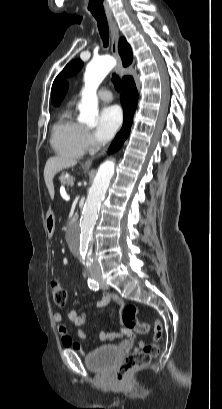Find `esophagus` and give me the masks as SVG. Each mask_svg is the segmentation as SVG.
Instances as JSON below:
<instances>
[{
  "label": "esophagus",
  "instance_id": "1",
  "mask_svg": "<svg viewBox=\"0 0 222 409\" xmlns=\"http://www.w3.org/2000/svg\"><path fill=\"white\" fill-rule=\"evenodd\" d=\"M109 25H110V29H111V53H112L113 57L116 59V61H117L116 71H117V73L119 75H121L122 71H123V66H122L121 58H120V55H119V52H118L119 31H118V27H117L116 23H114L113 21H110ZM106 152H107V149L103 150L97 156L92 157L90 159H87L85 161V165L87 167H90L95 158L102 156Z\"/></svg>",
  "mask_w": 222,
  "mask_h": 409
}]
</instances>
